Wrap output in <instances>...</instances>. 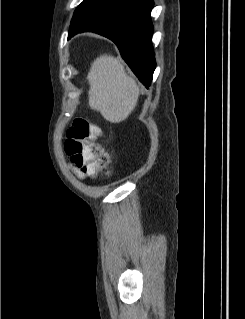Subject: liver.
Wrapping results in <instances>:
<instances>
[{"label":"liver","instance_id":"1","mask_svg":"<svg viewBox=\"0 0 245 319\" xmlns=\"http://www.w3.org/2000/svg\"><path fill=\"white\" fill-rule=\"evenodd\" d=\"M89 106L105 120L120 123L135 109L139 88L124 66L111 55H101L91 64L87 75Z\"/></svg>","mask_w":245,"mask_h":319}]
</instances>
